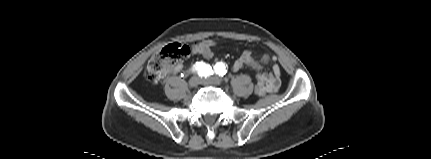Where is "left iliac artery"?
Instances as JSON below:
<instances>
[{
    "label": "left iliac artery",
    "mask_w": 431,
    "mask_h": 159,
    "mask_svg": "<svg viewBox=\"0 0 431 159\" xmlns=\"http://www.w3.org/2000/svg\"><path fill=\"white\" fill-rule=\"evenodd\" d=\"M214 72L219 76H224L227 72L226 66L223 62H218L214 66Z\"/></svg>",
    "instance_id": "left-iliac-artery-1"
}]
</instances>
